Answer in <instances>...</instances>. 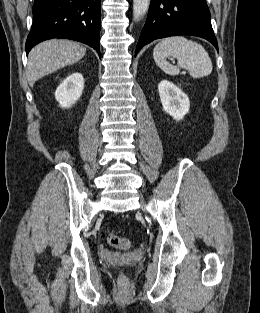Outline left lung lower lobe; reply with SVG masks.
<instances>
[{
  "label": "left lung lower lobe",
  "instance_id": "1",
  "mask_svg": "<svg viewBox=\"0 0 260 313\" xmlns=\"http://www.w3.org/2000/svg\"><path fill=\"white\" fill-rule=\"evenodd\" d=\"M174 35L205 38L218 50L205 0H151L135 55L151 41Z\"/></svg>",
  "mask_w": 260,
  "mask_h": 313
}]
</instances>
